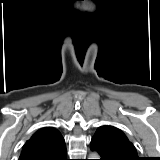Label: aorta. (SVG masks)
<instances>
[{
	"instance_id": "762f6f07",
	"label": "aorta",
	"mask_w": 160,
	"mask_h": 160,
	"mask_svg": "<svg viewBox=\"0 0 160 160\" xmlns=\"http://www.w3.org/2000/svg\"><path fill=\"white\" fill-rule=\"evenodd\" d=\"M90 157H91L90 159H98L99 155H98V153L93 152L90 154Z\"/></svg>"
}]
</instances>
